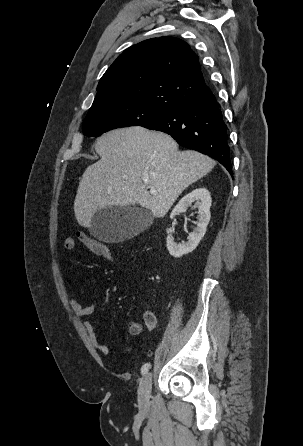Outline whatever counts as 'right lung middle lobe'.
Wrapping results in <instances>:
<instances>
[{"instance_id": "1", "label": "right lung middle lobe", "mask_w": 303, "mask_h": 446, "mask_svg": "<svg viewBox=\"0 0 303 446\" xmlns=\"http://www.w3.org/2000/svg\"><path fill=\"white\" fill-rule=\"evenodd\" d=\"M168 110L142 103L103 105L89 110L84 120L83 132L92 137L116 128L142 125Z\"/></svg>"}]
</instances>
